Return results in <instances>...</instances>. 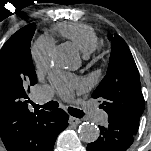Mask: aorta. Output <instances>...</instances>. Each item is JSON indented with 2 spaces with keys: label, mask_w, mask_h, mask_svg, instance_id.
<instances>
[{
  "label": "aorta",
  "mask_w": 151,
  "mask_h": 151,
  "mask_svg": "<svg viewBox=\"0 0 151 151\" xmlns=\"http://www.w3.org/2000/svg\"><path fill=\"white\" fill-rule=\"evenodd\" d=\"M54 61L64 68H72L76 63V55L72 48L67 44L59 45L54 52ZM79 136L82 141L92 143L99 137V128L90 122H84L79 126Z\"/></svg>",
  "instance_id": "aorta-1"
}]
</instances>
